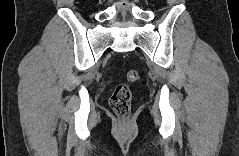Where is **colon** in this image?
Listing matches in <instances>:
<instances>
[{"mask_svg":"<svg viewBox=\"0 0 239 156\" xmlns=\"http://www.w3.org/2000/svg\"><path fill=\"white\" fill-rule=\"evenodd\" d=\"M128 82H136L139 79V73L136 70H129L126 73ZM132 93L129 86L125 83L117 85L110 97L112 110L119 116L125 117L129 114L131 108Z\"/></svg>","mask_w":239,"mask_h":156,"instance_id":"1","label":"colon"}]
</instances>
